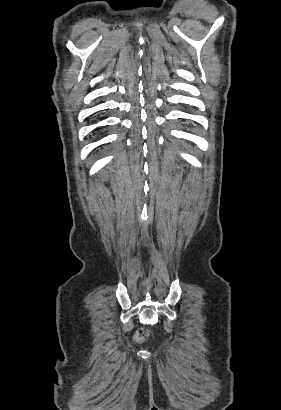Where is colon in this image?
<instances>
[{
	"mask_svg": "<svg viewBox=\"0 0 281 410\" xmlns=\"http://www.w3.org/2000/svg\"><path fill=\"white\" fill-rule=\"evenodd\" d=\"M149 337V330L147 328L139 329L135 334V341L142 342Z\"/></svg>",
	"mask_w": 281,
	"mask_h": 410,
	"instance_id": "5ec220e1",
	"label": "colon"
}]
</instances>
